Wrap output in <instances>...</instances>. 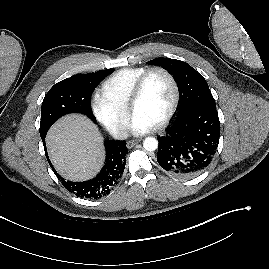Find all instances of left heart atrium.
Wrapping results in <instances>:
<instances>
[{"mask_svg":"<svg viewBox=\"0 0 269 269\" xmlns=\"http://www.w3.org/2000/svg\"><path fill=\"white\" fill-rule=\"evenodd\" d=\"M152 127L153 126L151 124H149L148 122L144 121L143 119L137 116H133L131 125H130L131 131L134 134H143L151 130Z\"/></svg>","mask_w":269,"mask_h":269,"instance_id":"obj_1","label":"left heart atrium"}]
</instances>
